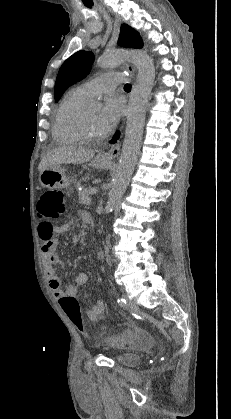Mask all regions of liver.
Instances as JSON below:
<instances>
[{"mask_svg":"<svg viewBox=\"0 0 231 419\" xmlns=\"http://www.w3.org/2000/svg\"><path fill=\"white\" fill-rule=\"evenodd\" d=\"M95 155L94 150L76 146H61L52 149L44 156L39 164V172L48 167L60 164H82L90 161Z\"/></svg>","mask_w":231,"mask_h":419,"instance_id":"6515ba94","label":"liver"}]
</instances>
